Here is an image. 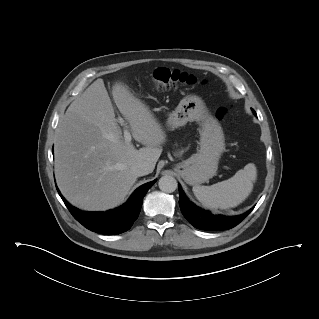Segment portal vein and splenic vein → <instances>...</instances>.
I'll return each mask as SVG.
<instances>
[{"instance_id":"obj_1","label":"portal vein and splenic vein","mask_w":319,"mask_h":319,"mask_svg":"<svg viewBox=\"0 0 319 319\" xmlns=\"http://www.w3.org/2000/svg\"><path fill=\"white\" fill-rule=\"evenodd\" d=\"M119 123H121L124 127H125V129H124V139H125V142L126 143H130L131 142V134H130V132H129V130L127 129V125L124 123V121L123 120H119Z\"/></svg>"}]
</instances>
